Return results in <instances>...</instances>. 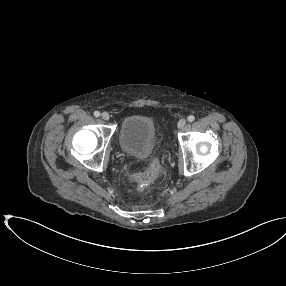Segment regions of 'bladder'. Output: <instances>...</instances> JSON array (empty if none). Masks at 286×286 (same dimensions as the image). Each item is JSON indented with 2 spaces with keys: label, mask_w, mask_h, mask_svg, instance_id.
<instances>
[{
  "label": "bladder",
  "mask_w": 286,
  "mask_h": 286,
  "mask_svg": "<svg viewBox=\"0 0 286 286\" xmlns=\"http://www.w3.org/2000/svg\"><path fill=\"white\" fill-rule=\"evenodd\" d=\"M120 151L128 157L146 159L154 150L157 133L153 120L145 115H132L123 119L119 131Z\"/></svg>",
  "instance_id": "bladder-1"
}]
</instances>
